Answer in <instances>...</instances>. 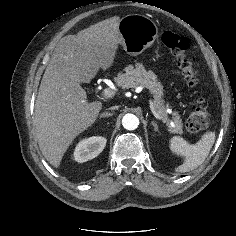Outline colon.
<instances>
[{
	"label": "colon",
	"mask_w": 236,
	"mask_h": 236,
	"mask_svg": "<svg viewBox=\"0 0 236 236\" xmlns=\"http://www.w3.org/2000/svg\"><path fill=\"white\" fill-rule=\"evenodd\" d=\"M162 42L177 59L178 67L186 84L192 88L196 87L200 76L195 66L196 57L190 52L187 38L172 31H165L162 34ZM209 116L208 103L204 97L200 96L187 119V129L192 132L206 129L209 123Z\"/></svg>",
	"instance_id": "5ec220e1"
}]
</instances>
